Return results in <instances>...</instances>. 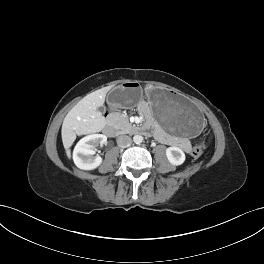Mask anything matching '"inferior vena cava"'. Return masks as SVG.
Returning <instances> with one entry per match:
<instances>
[{
	"label": "inferior vena cava",
	"mask_w": 264,
	"mask_h": 264,
	"mask_svg": "<svg viewBox=\"0 0 264 264\" xmlns=\"http://www.w3.org/2000/svg\"><path fill=\"white\" fill-rule=\"evenodd\" d=\"M132 143V139L127 135H121L117 138V145L121 148L129 147Z\"/></svg>",
	"instance_id": "inferior-vena-cava-1"
}]
</instances>
